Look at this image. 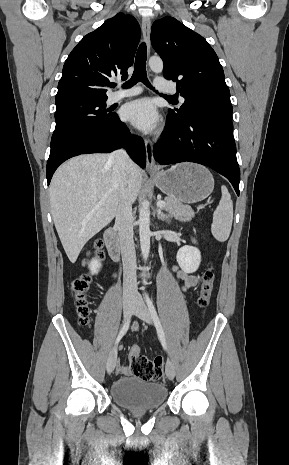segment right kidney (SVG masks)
I'll use <instances>...</instances> for the list:
<instances>
[{
  "instance_id": "1",
  "label": "right kidney",
  "mask_w": 289,
  "mask_h": 465,
  "mask_svg": "<svg viewBox=\"0 0 289 465\" xmlns=\"http://www.w3.org/2000/svg\"><path fill=\"white\" fill-rule=\"evenodd\" d=\"M89 268L92 274H98L101 268L100 260L97 258H93L90 262Z\"/></svg>"
}]
</instances>
